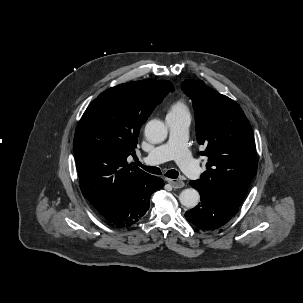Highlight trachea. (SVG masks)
<instances>
[{"instance_id": "3493384b", "label": "trachea", "mask_w": 303, "mask_h": 303, "mask_svg": "<svg viewBox=\"0 0 303 303\" xmlns=\"http://www.w3.org/2000/svg\"><path fill=\"white\" fill-rule=\"evenodd\" d=\"M136 163H134L135 165L140 166L141 168H143L145 171L152 173V174H161V171L158 167L155 166H146L143 165L142 163H140L137 159L135 160ZM168 178H172L175 179L178 177L179 173L176 170H169L167 171V173L165 174Z\"/></svg>"}]
</instances>
